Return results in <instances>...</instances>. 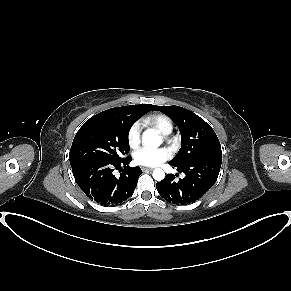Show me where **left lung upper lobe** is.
Here are the masks:
<instances>
[{"mask_svg": "<svg viewBox=\"0 0 291 291\" xmlns=\"http://www.w3.org/2000/svg\"><path fill=\"white\" fill-rule=\"evenodd\" d=\"M155 110L169 116L181 132V148L170 163L178 165L195 158L222 156L214 130L198 115L180 106H156Z\"/></svg>", "mask_w": 291, "mask_h": 291, "instance_id": "left-lung-upper-lobe-1", "label": "left lung upper lobe"}]
</instances>
